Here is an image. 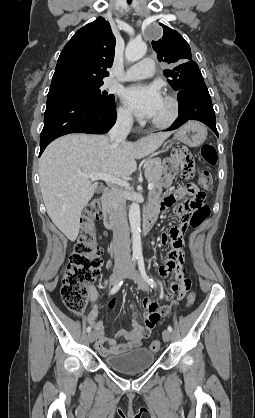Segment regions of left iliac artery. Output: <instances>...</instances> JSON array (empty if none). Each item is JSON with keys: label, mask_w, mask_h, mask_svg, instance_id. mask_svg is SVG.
<instances>
[{"label": "left iliac artery", "mask_w": 255, "mask_h": 418, "mask_svg": "<svg viewBox=\"0 0 255 418\" xmlns=\"http://www.w3.org/2000/svg\"><path fill=\"white\" fill-rule=\"evenodd\" d=\"M138 260V268L139 271L142 275V277L144 278V280L152 287V288H156V283L147 275L146 270H145V265H144V259L142 255H139L137 257ZM170 332H172V327L169 325L167 328Z\"/></svg>", "instance_id": "left-iliac-artery-1"}]
</instances>
